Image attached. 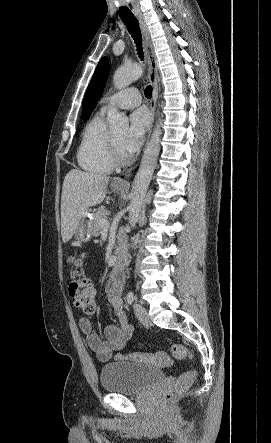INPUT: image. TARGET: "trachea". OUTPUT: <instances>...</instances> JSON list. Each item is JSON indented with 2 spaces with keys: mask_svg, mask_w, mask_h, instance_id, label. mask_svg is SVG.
Returning a JSON list of instances; mask_svg holds the SVG:
<instances>
[{
  "mask_svg": "<svg viewBox=\"0 0 271 443\" xmlns=\"http://www.w3.org/2000/svg\"><path fill=\"white\" fill-rule=\"evenodd\" d=\"M121 9L118 11V16L123 20L124 24L126 25L128 32L131 34L133 39L135 40V43L137 45V50L140 59H143V52H142V36L141 31L138 25L137 18L132 15V11L130 9L129 3L126 0L121 1L120 3ZM144 94L146 98H151L152 96V87L151 85H148L145 90Z\"/></svg>",
  "mask_w": 271,
  "mask_h": 443,
  "instance_id": "obj_1",
  "label": "trachea"
}]
</instances>
